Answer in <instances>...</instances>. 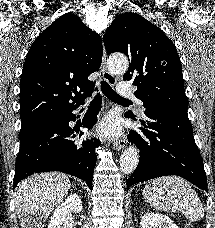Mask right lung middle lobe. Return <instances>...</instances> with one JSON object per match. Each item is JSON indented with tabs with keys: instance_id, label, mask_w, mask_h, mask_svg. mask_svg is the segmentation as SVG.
Here are the masks:
<instances>
[{
	"instance_id": "obj_1",
	"label": "right lung middle lobe",
	"mask_w": 215,
	"mask_h": 228,
	"mask_svg": "<svg viewBox=\"0 0 215 228\" xmlns=\"http://www.w3.org/2000/svg\"><path fill=\"white\" fill-rule=\"evenodd\" d=\"M60 118H61L60 115H53V116H47V117H43V118H40V119H36V120H32V121H29V122L22 123L20 136L23 135V134H26L28 132H31L34 129H36L37 127H40V126H42V125H44L46 123L59 120Z\"/></svg>"
}]
</instances>
